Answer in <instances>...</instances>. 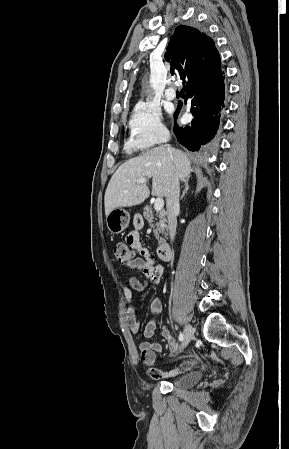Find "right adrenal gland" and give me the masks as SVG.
I'll list each match as a JSON object with an SVG mask.
<instances>
[{
	"instance_id": "1",
	"label": "right adrenal gland",
	"mask_w": 289,
	"mask_h": 449,
	"mask_svg": "<svg viewBox=\"0 0 289 449\" xmlns=\"http://www.w3.org/2000/svg\"><path fill=\"white\" fill-rule=\"evenodd\" d=\"M188 190H189V184H188V179H186V180H184V190L182 192L180 200H182L184 198V196Z\"/></svg>"
}]
</instances>
